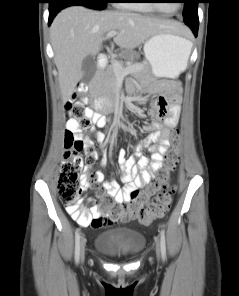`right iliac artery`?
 Segmentation results:
<instances>
[{
	"mask_svg": "<svg viewBox=\"0 0 239 296\" xmlns=\"http://www.w3.org/2000/svg\"><path fill=\"white\" fill-rule=\"evenodd\" d=\"M80 258V234L79 230H77L75 235V261L78 263Z\"/></svg>",
	"mask_w": 239,
	"mask_h": 296,
	"instance_id": "obj_1",
	"label": "right iliac artery"
}]
</instances>
